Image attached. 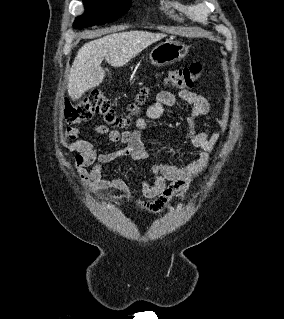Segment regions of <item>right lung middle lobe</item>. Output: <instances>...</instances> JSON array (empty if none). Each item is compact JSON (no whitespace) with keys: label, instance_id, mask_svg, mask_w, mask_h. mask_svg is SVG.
<instances>
[{"label":"right lung middle lobe","instance_id":"dd1d6c3e","mask_svg":"<svg viewBox=\"0 0 284 319\" xmlns=\"http://www.w3.org/2000/svg\"><path fill=\"white\" fill-rule=\"evenodd\" d=\"M86 12L74 22V28L81 29L95 24L112 22L126 13L131 0H83Z\"/></svg>","mask_w":284,"mask_h":319}]
</instances>
